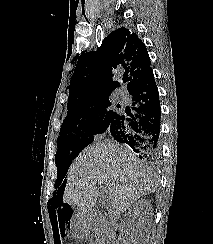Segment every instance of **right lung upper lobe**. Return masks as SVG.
<instances>
[{
    "mask_svg": "<svg viewBox=\"0 0 213 244\" xmlns=\"http://www.w3.org/2000/svg\"><path fill=\"white\" fill-rule=\"evenodd\" d=\"M125 70L129 76L128 91H132L151 70L144 43L128 28L111 32L97 51L83 52L72 75L68 108L110 96L120 86L112 80L113 69Z\"/></svg>",
    "mask_w": 213,
    "mask_h": 244,
    "instance_id": "right-lung-upper-lobe-1",
    "label": "right lung upper lobe"
}]
</instances>
